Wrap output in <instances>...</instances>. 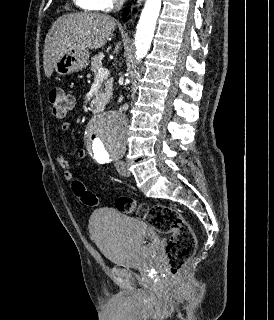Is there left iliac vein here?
<instances>
[{"label":"left iliac vein","instance_id":"1","mask_svg":"<svg viewBox=\"0 0 274 320\" xmlns=\"http://www.w3.org/2000/svg\"><path fill=\"white\" fill-rule=\"evenodd\" d=\"M116 167H117V171L120 175H122L124 177L130 176V172H129L125 162H123V161L117 162Z\"/></svg>","mask_w":274,"mask_h":320}]
</instances>
